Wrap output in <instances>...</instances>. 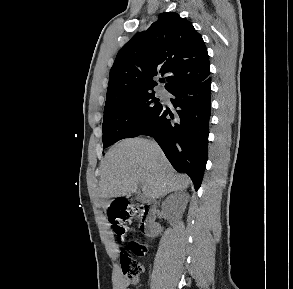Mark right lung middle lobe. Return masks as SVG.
<instances>
[{
	"mask_svg": "<svg viewBox=\"0 0 293 289\" xmlns=\"http://www.w3.org/2000/svg\"><path fill=\"white\" fill-rule=\"evenodd\" d=\"M162 106L155 92L114 99L105 104L103 146L129 138L155 111Z\"/></svg>",
	"mask_w": 293,
	"mask_h": 289,
	"instance_id": "dd1d6c3e",
	"label": "right lung middle lobe"
}]
</instances>
